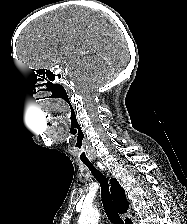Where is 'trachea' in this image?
Wrapping results in <instances>:
<instances>
[{"mask_svg":"<svg viewBox=\"0 0 187 224\" xmlns=\"http://www.w3.org/2000/svg\"><path fill=\"white\" fill-rule=\"evenodd\" d=\"M83 163L90 169L91 173L100 184L102 204L108 219L112 224H124L111 198L109 183L106 176H104L99 170H97L91 162Z\"/></svg>","mask_w":187,"mask_h":224,"instance_id":"obj_1","label":"trachea"}]
</instances>
